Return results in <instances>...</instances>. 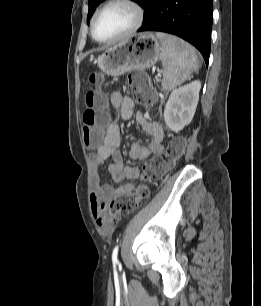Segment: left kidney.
I'll return each mask as SVG.
<instances>
[{
  "mask_svg": "<svg viewBox=\"0 0 261 306\" xmlns=\"http://www.w3.org/2000/svg\"><path fill=\"white\" fill-rule=\"evenodd\" d=\"M200 88V81H193L172 91L164 110V120L170 130L177 133L191 123Z\"/></svg>",
  "mask_w": 261,
  "mask_h": 306,
  "instance_id": "1",
  "label": "left kidney"
}]
</instances>
